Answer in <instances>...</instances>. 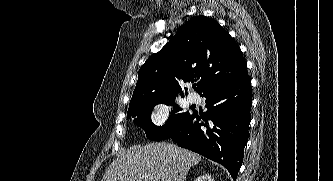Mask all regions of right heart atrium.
Instances as JSON below:
<instances>
[{
  "mask_svg": "<svg viewBox=\"0 0 333 181\" xmlns=\"http://www.w3.org/2000/svg\"><path fill=\"white\" fill-rule=\"evenodd\" d=\"M171 111L172 107L168 102L161 101L155 103L149 112L150 122L156 127L163 126L167 122Z\"/></svg>",
  "mask_w": 333,
  "mask_h": 181,
  "instance_id": "1",
  "label": "right heart atrium"
}]
</instances>
